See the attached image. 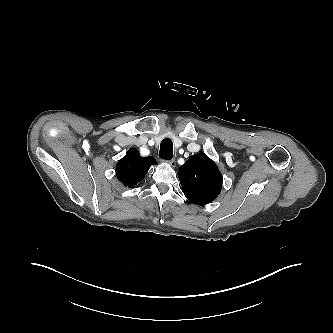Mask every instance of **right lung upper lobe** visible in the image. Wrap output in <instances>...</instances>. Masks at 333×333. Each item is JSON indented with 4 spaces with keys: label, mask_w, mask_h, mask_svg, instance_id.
Masks as SVG:
<instances>
[{
    "label": "right lung upper lobe",
    "mask_w": 333,
    "mask_h": 333,
    "mask_svg": "<svg viewBox=\"0 0 333 333\" xmlns=\"http://www.w3.org/2000/svg\"><path fill=\"white\" fill-rule=\"evenodd\" d=\"M156 163L152 156L141 157L136 149H129L116 165L117 178L125 186L133 188L144 179L150 166Z\"/></svg>",
    "instance_id": "right-lung-upper-lobe-1"
}]
</instances>
